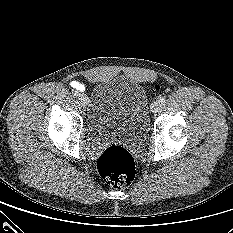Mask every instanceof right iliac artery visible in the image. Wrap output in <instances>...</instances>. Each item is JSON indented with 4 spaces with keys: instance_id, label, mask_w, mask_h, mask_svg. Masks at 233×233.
Masks as SVG:
<instances>
[{
    "instance_id": "obj_1",
    "label": "right iliac artery",
    "mask_w": 233,
    "mask_h": 233,
    "mask_svg": "<svg viewBox=\"0 0 233 233\" xmlns=\"http://www.w3.org/2000/svg\"><path fill=\"white\" fill-rule=\"evenodd\" d=\"M74 96H75V97H79V96H80L79 92L75 91V92H74Z\"/></svg>"
}]
</instances>
